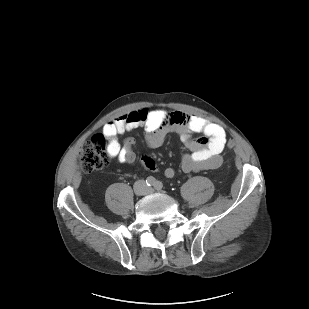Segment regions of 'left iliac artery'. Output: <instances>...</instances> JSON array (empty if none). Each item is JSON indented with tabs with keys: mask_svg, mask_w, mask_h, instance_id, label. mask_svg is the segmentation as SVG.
I'll return each mask as SVG.
<instances>
[{
	"mask_svg": "<svg viewBox=\"0 0 309 309\" xmlns=\"http://www.w3.org/2000/svg\"><path fill=\"white\" fill-rule=\"evenodd\" d=\"M154 188H155L156 190H161V189L163 188L162 182L156 181L155 184H154Z\"/></svg>",
	"mask_w": 309,
	"mask_h": 309,
	"instance_id": "obj_1",
	"label": "left iliac artery"
}]
</instances>
